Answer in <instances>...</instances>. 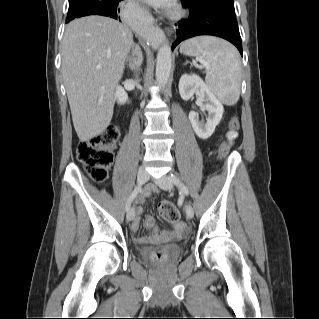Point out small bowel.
<instances>
[{
  "label": "small bowel",
  "mask_w": 319,
  "mask_h": 319,
  "mask_svg": "<svg viewBox=\"0 0 319 319\" xmlns=\"http://www.w3.org/2000/svg\"><path fill=\"white\" fill-rule=\"evenodd\" d=\"M237 136V134H236ZM145 201V197L144 196H140L138 198V202L139 203H143ZM136 217L134 219V221L132 222V225H131V230L133 232H136L139 228V223H140V217L142 215V208L141 207H137L136 208ZM145 227L146 229L149 231V233L151 234V237H155L157 234H158V229H157V226L155 225V223L153 222L152 219L148 218L146 221H145ZM186 223L184 221H181V220H177L175 223H174V232L175 233H185L186 232ZM170 234V233H168ZM137 241L138 242H143L145 241V238H137Z\"/></svg>",
  "instance_id": "small-bowel-1"
}]
</instances>
